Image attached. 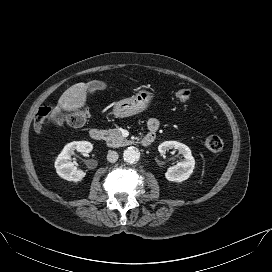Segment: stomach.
Segmentation results:
<instances>
[{
    "label": "stomach",
    "mask_w": 272,
    "mask_h": 272,
    "mask_svg": "<svg viewBox=\"0 0 272 272\" xmlns=\"http://www.w3.org/2000/svg\"><path fill=\"white\" fill-rule=\"evenodd\" d=\"M154 99V94L148 90H141L136 95L118 101L113 113L117 118H125L146 110Z\"/></svg>",
    "instance_id": "obj_1"
}]
</instances>
